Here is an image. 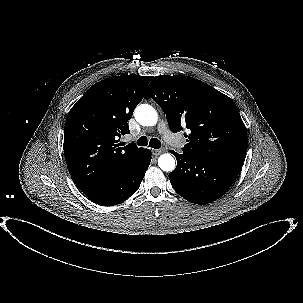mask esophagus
Listing matches in <instances>:
<instances>
[{
  "label": "esophagus",
  "instance_id": "1",
  "mask_svg": "<svg viewBox=\"0 0 303 303\" xmlns=\"http://www.w3.org/2000/svg\"><path fill=\"white\" fill-rule=\"evenodd\" d=\"M163 152H164V149H155V150H153V154L155 156H158V155L162 154Z\"/></svg>",
  "mask_w": 303,
  "mask_h": 303
}]
</instances>
